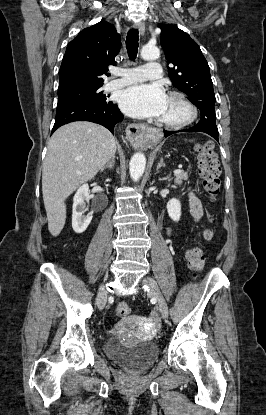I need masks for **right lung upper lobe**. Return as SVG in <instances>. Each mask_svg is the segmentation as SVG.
Segmentation results:
<instances>
[{
  "mask_svg": "<svg viewBox=\"0 0 266 415\" xmlns=\"http://www.w3.org/2000/svg\"><path fill=\"white\" fill-rule=\"evenodd\" d=\"M121 37L115 27L99 22L81 31L67 46L59 71L58 93L103 85L101 76L116 65Z\"/></svg>",
  "mask_w": 266,
  "mask_h": 415,
  "instance_id": "obj_1",
  "label": "right lung upper lobe"
}]
</instances>
